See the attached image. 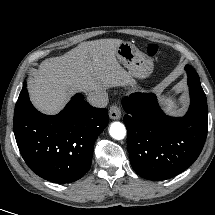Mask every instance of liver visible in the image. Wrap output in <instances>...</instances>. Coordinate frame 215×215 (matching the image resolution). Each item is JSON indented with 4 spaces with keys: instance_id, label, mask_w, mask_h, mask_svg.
Returning <instances> with one entry per match:
<instances>
[{
    "instance_id": "obj_1",
    "label": "liver",
    "mask_w": 215,
    "mask_h": 215,
    "mask_svg": "<svg viewBox=\"0 0 215 215\" xmlns=\"http://www.w3.org/2000/svg\"><path fill=\"white\" fill-rule=\"evenodd\" d=\"M120 39L80 43L63 56L44 60L29 84L33 105L45 114L58 113L76 91H102L133 83L116 59Z\"/></svg>"
}]
</instances>
